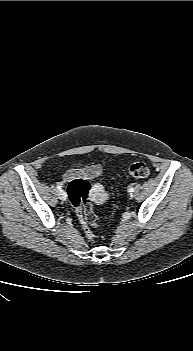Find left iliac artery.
Returning a JSON list of instances; mask_svg holds the SVG:
<instances>
[{"instance_id": "1", "label": "left iliac artery", "mask_w": 193, "mask_h": 351, "mask_svg": "<svg viewBox=\"0 0 193 351\" xmlns=\"http://www.w3.org/2000/svg\"><path fill=\"white\" fill-rule=\"evenodd\" d=\"M129 192H133L134 191V188L133 187H129Z\"/></svg>"}]
</instances>
